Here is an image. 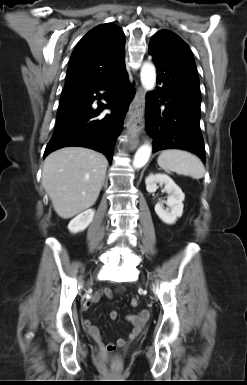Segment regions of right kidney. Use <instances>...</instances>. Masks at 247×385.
I'll use <instances>...</instances> for the list:
<instances>
[{"label": "right kidney", "instance_id": "right-kidney-1", "mask_svg": "<svg viewBox=\"0 0 247 385\" xmlns=\"http://www.w3.org/2000/svg\"><path fill=\"white\" fill-rule=\"evenodd\" d=\"M94 214L95 211L93 209H88L80 213L70 221L68 224V230L74 234L84 231L92 222Z\"/></svg>", "mask_w": 247, "mask_h": 385}]
</instances>
